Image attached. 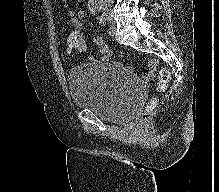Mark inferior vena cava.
Wrapping results in <instances>:
<instances>
[{
  "mask_svg": "<svg viewBox=\"0 0 219 192\" xmlns=\"http://www.w3.org/2000/svg\"><path fill=\"white\" fill-rule=\"evenodd\" d=\"M100 1H102L104 4H109L110 2H112V0H100Z\"/></svg>",
  "mask_w": 219,
  "mask_h": 192,
  "instance_id": "inferior-vena-cava-1",
  "label": "inferior vena cava"
}]
</instances>
